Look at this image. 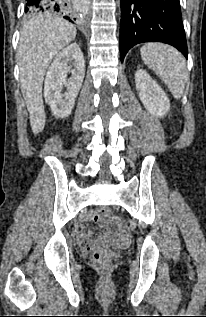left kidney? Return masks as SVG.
Returning a JSON list of instances; mask_svg holds the SVG:
<instances>
[{
  "label": "left kidney",
  "mask_w": 206,
  "mask_h": 317,
  "mask_svg": "<svg viewBox=\"0 0 206 317\" xmlns=\"http://www.w3.org/2000/svg\"><path fill=\"white\" fill-rule=\"evenodd\" d=\"M135 83L144 107L151 114L163 117L170 109V101L158 83L140 68L135 73Z\"/></svg>",
  "instance_id": "obj_1"
}]
</instances>
